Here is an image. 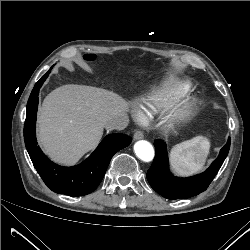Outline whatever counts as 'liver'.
Instances as JSON below:
<instances>
[{"mask_svg": "<svg viewBox=\"0 0 250 250\" xmlns=\"http://www.w3.org/2000/svg\"><path fill=\"white\" fill-rule=\"evenodd\" d=\"M126 107L121 96L105 89L74 84L58 87L40 108V146L54 161L73 164L98 144L105 122L124 114Z\"/></svg>", "mask_w": 250, "mask_h": 250, "instance_id": "6515ba94", "label": "liver"}]
</instances>
